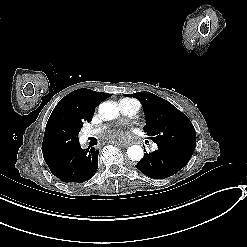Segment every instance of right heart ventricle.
I'll return each instance as SVG.
<instances>
[{
	"mask_svg": "<svg viewBox=\"0 0 247 247\" xmlns=\"http://www.w3.org/2000/svg\"><path fill=\"white\" fill-rule=\"evenodd\" d=\"M119 104V107L122 108L124 106H127V105H133L136 107V109H139L140 108V103L136 100H132V99H129V98H122L119 100L118 102Z\"/></svg>",
	"mask_w": 247,
	"mask_h": 247,
	"instance_id": "1",
	"label": "right heart ventricle"
}]
</instances>
